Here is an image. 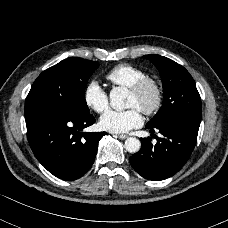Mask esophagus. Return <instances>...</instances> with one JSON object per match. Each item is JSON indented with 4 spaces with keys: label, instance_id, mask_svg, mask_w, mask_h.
Returning a JSON list of instances; mask_svg holds the SVG:
<instances>
[{
    "label": "esophagus",
    "instance_id": "1",
    "mask_svg": "<svg viewBox=\"0 0 228 228\" xmlns=\"http://www.w3.org/2000/svg\"><path fill=\"white\" fill-rule=\"evenodd\" d=\"M119 139H126L128 136L126 134L118 135Z\"/></svg>",
    "mask_w": 228,
    "mask_h": 228
}]
</instances>
